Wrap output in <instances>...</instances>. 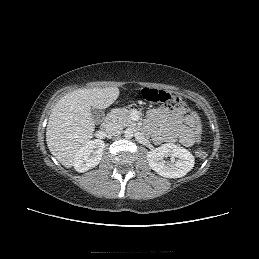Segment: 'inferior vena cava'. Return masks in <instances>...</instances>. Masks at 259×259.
Returning <instances> with one entry per match:
<instances>
[{"instance_id": "602c4592", "label": "inferior vena cava", "mask_w": 259, "mask_h": 259, "mask_svg": "<svg viewBox=\"0 0 259 259\" xmlns=\"http://www.w3.org/2000/svg\"><path fill=\"white\" fill-rule=\"evenodd\" d=\"M122 126L117 123H110L106 126V133L111 136H117L122 133Z\"/></svg>"}]
</instances>
